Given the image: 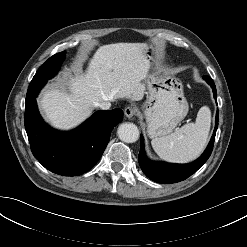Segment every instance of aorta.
<instances>
[{"label": "aorta", "instance_id": "aorta-1", "mask_svg": "<svg viewBox=\"0 0 247 247\" xmlns=\"http://www.w3.org/2000/svg\"><path fill=\"white\" fill-rule=\"evenodd\" d=\"M118 137L125 143H134L139 138V129L133 123H123L118 127Z\"/></svg>", "mask_w": 247, "mask_h": 247}]
</instances>
